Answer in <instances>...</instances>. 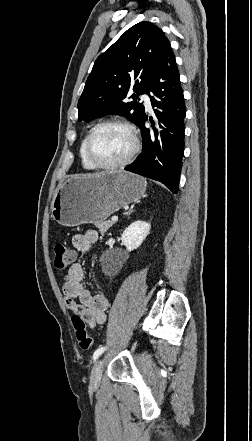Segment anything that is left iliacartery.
I'll return each mask as SVG.
<instances>
[{"instance_id": "44dca946", "label": "left iliac artery", "mask_w": 252, "mask_h": 441, "mask_svg": "<svg viewBox=\"0 0 252 441\" xmlns=\"http://www.w3.org/2000/svg\"><path fill=\"white\" fill-rule=\"evenodd\" d=\"M105 350H106V347L98 348L93 354V360L95 361Z\"/></svg>"}]
</instances>
